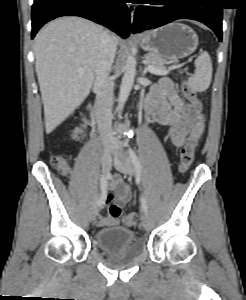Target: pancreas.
Here are the masks:
<instances>
[{
	"mask_svg": "<svg viewBox=\"0 0 246 300\" xmlns=\"http://www.w3.org/2000/svg\"><path fill=\"white\" fill-rule=\"evenodd\" d=\"M145 58L149 65H153L154 67L161 69V70H166L165 64L167 62L165 60L157 57L154 54H150V53L147 54Z\"/></svg>",
	"mask_w": 246,
	"mask_h": 300,
	"instance_id": "cf45deb5",
	"label": "pancreas"
}]
</instances>
